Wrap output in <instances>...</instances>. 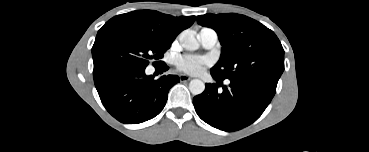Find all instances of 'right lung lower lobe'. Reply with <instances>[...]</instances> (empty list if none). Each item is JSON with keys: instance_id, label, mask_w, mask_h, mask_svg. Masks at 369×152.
I'll use <instances>...</instances> for the list:
<instances>
[{"instance_id": "obj_1", "label": "right lung lower lobe", "mask_w": 369, "mask_h": 152, "mask_svg": "<svg viewBox=\"0 0 369 152\" xmlns=\"http://www.w3.org/2000/svg\"><path fill=\"white\" fill-rule=\"evenodd\" d=\"M162 71L168 67L165 63ZM180 81L178 76H162L154 80L145 68L118 66L94 75V83L107 111L125 124H137L158 115L164 108L170 88Z\"/></svg>"}]
</instances>
